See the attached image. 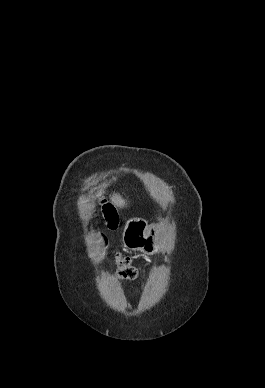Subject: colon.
Instances as JSON below:
<instances>
[{"mask_svg":"<svg viewBox=\"0 0 265 388\" xmlns=\"http://www.w3.org/2000/svg\"><path fill=\"white\" fill-rule=\"evenodd\" d=\"M102 212L108 228L109 229L116 228L118 217L113 206L108 203H104L102 207ZM115 266H116L117 275L122 280H132L137 275V270L135 266L132 264V261L130 260V258L126 256H123L121 254H116Z\"/></svg>","mask_w":265,"mask_h":388,"instance_id":"colon-1","label":"colon"}]
</instances>
